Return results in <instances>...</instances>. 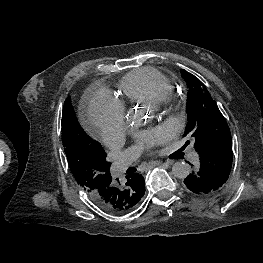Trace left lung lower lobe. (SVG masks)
Segmentation results:
<instances>
[{"instance_id":"0a47b994","label":"left lung lower lobe","mask_w":263,"mask_h":263,"mask_svg":"<svg viewBox=\"0 0 263 263\" xmlns=\"http://www.w3.org/2000/svg\"><path fill=\"white\" fill-rule=\"evenodd\" d=\"M199 166L184 180L195 194L206 195L218 190L228 179L232 167V141L221 140L198 152Z\"/></svg>"}]
</instances>
